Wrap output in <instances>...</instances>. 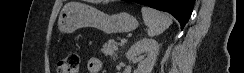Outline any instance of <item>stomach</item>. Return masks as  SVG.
Wrapping results in <instances>:
<instances>
[{
    "label": "stomach",
    "instance_id": "0dacf381",
    "mask_svg": "<svg viewBox=\"0 0 244 73\" xmlns=\"http://www.w3.org/2000/svg\"><path fill=\"white\" fill-rule=\"evenodd\" d=\"M57 27L61 33H71L81 27H94L106 34H117L135 30L138 21L125 12L108 14L90 5L71 1L63 6Z\"/></svg>",
    "mask_w": 244,
    "mask_h": 73
}]
</instances>
